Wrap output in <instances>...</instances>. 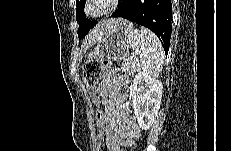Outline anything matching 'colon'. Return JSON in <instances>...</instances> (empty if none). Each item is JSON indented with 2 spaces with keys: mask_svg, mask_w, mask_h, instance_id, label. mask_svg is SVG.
<instances>
[{
  "mask_svg": "<svg viewBox=\"0 0 231 151\" xmlns=\"http://www.w3.org/2000/svg\"><path fill=\"white\" fill-rule=\"evenodd\" d=\"M110 67L111 64L108 61H86L83 67V80L86 86L90 90H93L96 87L102 72L105 69H109ZM118 92L122 95H125L127 93V86L125 84H121L118 88ZM95 119L98 131L97 151H111V147L109 144L110 129L104 118V112L99 108H97L95 111Z\"/></svg>",
  "mask_w": 231,
  "mask_h": 151,
  "instance_id": "5ec220e1",
  "label": "colon"
}]
</instances>
